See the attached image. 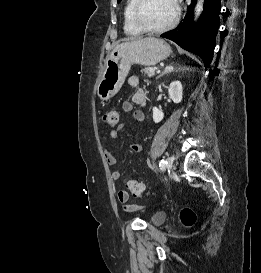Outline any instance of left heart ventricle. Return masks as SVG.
<instances>
[{"instance_id": "left-heart-ventricle-1", "label": "left heart ventricle", "mask_w": 261, "mask_h": 273, "mask_svg": "<svg viewBox=\"0 0 261 273\" xmlns=\"http://www.w3.org/2000/svg\"><path fill=\"white\" fill-rule=\"evenodd\" d=\"M175 15L173 0H143L138 18L148 27H161L168 24Z\"/></svg>"}]
</instances>
